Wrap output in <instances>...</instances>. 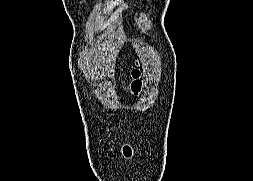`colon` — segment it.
Listing matches in <instances>:
<instances>
[{"label": "colon", "mask_w": 253, "mask_h": 181, "mask_svg": "<svg viewBox=\"0 0 253 181\" xmlns=\"http://www.w3.org/2000/svg\"><path fill=\"white\" fill-rule=\"evenodd\" d=\"M136 75H137V73H136V72H133V76H136ZM132 89H133L134 92H138V90H139V84L136 83V82H134V83L132 84Z\"/></svg>", "instance_id": "1"}]
</instances>
